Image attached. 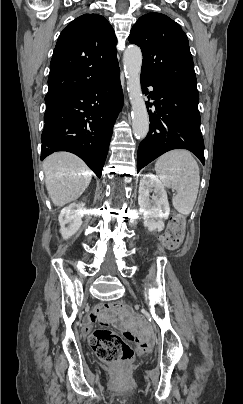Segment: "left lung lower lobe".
<instances>
[{"label":"left lung lower lobe","instance_id":"0a47b994","mask_svg":"<svg viewBox=\"0 0 243 404\" xmlns=\"http://www.w3.org/2000/svg\"><path fill=\"white\" fill-rule=\"evenodd\" d=\"M141 87L148 94L152 86L147 108L155 106V113L149 112L150 126L147 137L140 143L137 155V172L151 161L172 149H187L204 164V141L200 130L197 88L180 86L147 79L141 76Z\"/></svg>","mask_w":243,"mask_h":404}]
</instances>
